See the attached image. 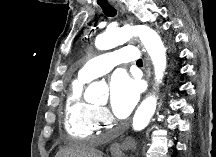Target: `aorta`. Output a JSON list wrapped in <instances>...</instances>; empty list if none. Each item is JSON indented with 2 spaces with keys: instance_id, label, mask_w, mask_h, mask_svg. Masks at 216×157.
I'll return each instance as SVG.
<instances>
[{
  "instance_id": "obj_1",
  "label": "aorta",
  "mask_w": 216,
  "mask_h": 157,
  "mask_svg": "<svg viewBox=\"0 0 216 157\" xmlns=\"http://www.w3.org/2000/svg\"><path fill=\"white\" fill-rule=\"evenodd\" d=\"M134 36L140 38L151 58L154 66L155 81L158 85L162 81L166 70L167 54L160 36L150 27L136 25L107 30L96 38L95 46L99 50H109L123 44ZM103 92L104 88L98 82H94L88 87L85 98L86 100L95 99L101 102L105 99ZM156 106L157 98L154 94L143 100L133 117L132 126L135 131H141L147 127L156 111Z\"/></svg>"
}]
</instances>
